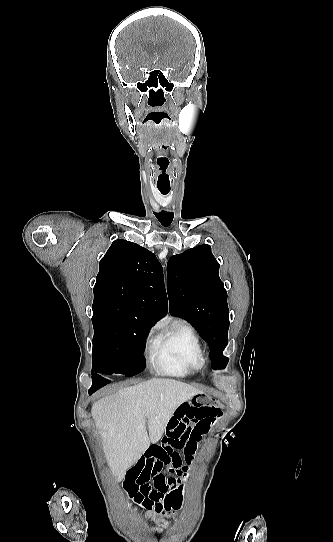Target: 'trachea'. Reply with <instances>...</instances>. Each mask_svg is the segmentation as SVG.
<instances>
[{
  "mask_svg": "<svg viewBox=\"0 0 333 542\" xmlns=\"http://www.w3.org/2000/svg\"><path fill=\"white\" fill-rule=\"evenodd\" d=\"M159 191H160L162 194H164V195L168 194V192H169V190H166V189H160V188H159Z\"/></svg>",
  "mask_w": 333,
  "mask_h": 542,
  "instance_id": "trachea-1",
  "label": "trachea"
}]
</instances>
